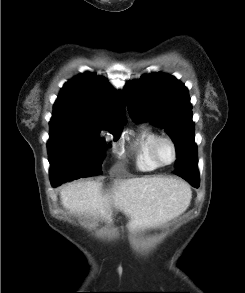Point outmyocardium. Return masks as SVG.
<instances>
[{"instance_id": "1", "label": "myocardium", "mask_w": 245, "mask_h": 293, "mask_svg": "<svg viewBox=\"0 0 245 293\" xmlns=\"http://www.w3.org/2000/svg\"><path fill=\"white\" fill-rule=\"evenodd\" d=\"M164 142L168 143L171 146V149H172L173 156H172L171 161H169V162H164L160 158V155H159V147ZM152 155H153V158L155 159V161L160 166H169V165L173 164L177 160V158H178L177 144L175 143V141L170 136H167V135H158L155 138L154 143H153V146H152Z\"/></svg>"}]
</instances>
